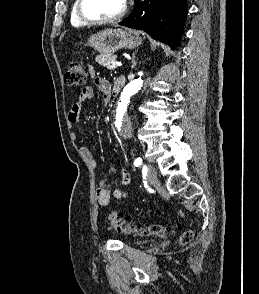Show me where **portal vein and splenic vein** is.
<instances>
[{
    "mask_svg": "<svg viewBox=\"0 0 259 294\" xmlns=\"http://www.w3.org/2000/svg\"><path fill=\"white\" fill-rule=\"evenodd\" d=\"M121 65V63H119V62H117V61H113L112 62V66L113 67H117V66H120Z\"/></svg>",
    "mask_w": 259,
    "mask_h": 294,
    "instance_id": "1",
    "label": "portal vein and splenic vein"
}]
</instances>
